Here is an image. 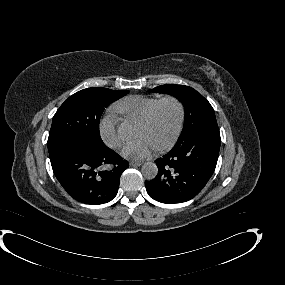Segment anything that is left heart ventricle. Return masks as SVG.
<instances>
[{
	"label": "left heart ventricle",
	"mask_w": 285,
	"mask_h": 285,
	"mask_svg": "<svg viewBox=\"0 0 285 285\" xmlns=\"http://www.w3.org/2000/svg\"><path fill=\"white\" fill-rule=\"evenodd\" d=\"M177 118V105L166 103L161 107L157 121L148 129H140L139 135L155 145L164 142L174 130Z\"/></svg>",
	"instance_id": "1"
}]
</instances>
